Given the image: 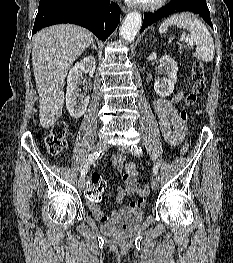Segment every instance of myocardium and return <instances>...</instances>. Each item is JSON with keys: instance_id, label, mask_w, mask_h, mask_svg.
Wrapping results in <instances>:
<instances>
[{"instance_id": "f54148a6", "label": "myocardium", "mask_w": 233, "mask_h": 263, "mask_svg": "<svg viewBox=\"0 0 233 263\" xmlns=\"http://www.w3.org/2000/svg\"><path fill=\"white\" fill-rule=\"evenodd\" d=\"M168 0H152L149 2H142L141 7L146 11H156L163 7Z\"/></svg>"}]
</instances>
